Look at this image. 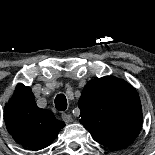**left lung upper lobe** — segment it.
Wrapping results in <instances>:
<instances>
[{"label": "left lung upper lobe", "instance_id": "5c2ea615", "mask_svg": "<svg viewBox=\"0 0 155 155\" xmlns=\"http://www.w3.org/2000/svg\"><path fill=\"white\" fill-rule=\"evenodd\" d=\"M78 106L81 110L80 123L95 141L110 149L127 147L140 132V98L124 80L106 76L89 81Z\"/></svg>", "mask_w": 155, "mask_h": 155}]
</instances>
